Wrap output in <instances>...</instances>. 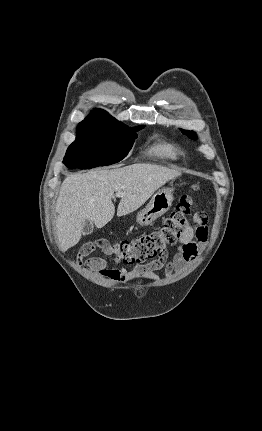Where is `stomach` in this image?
I'll return each mask as SVG.
<instances>
[{"mask_svg":"<svg viewBox=\"0 0 262 431\" xmlns=\"http://www.w3.org/2000/svg\"><path fill=\"white\" fill-rule=\"evenodd\" d=\"M173 202V189L162 188L156 192L149 203L138 212L136 220L140 225L152 224L158 217L165 214Z\"/></svg>","mask_w":262,"mask_h":431,"instance_id":"1","label":"stomach"}]
</instances>
